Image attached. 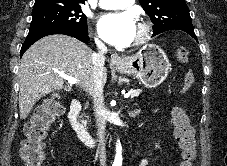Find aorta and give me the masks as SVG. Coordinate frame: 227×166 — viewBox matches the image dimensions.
Returning <instances> with one entry per match:
<instances>
[{
  "label": "aorta",
  "mask_w": 227,
  "mask_h": 166,
  "mask_svg": "<svg viewBox=\"0 0 227 166\" xmlns=\"http://www.w3.org/2000/svg\"><path fill=\"white\" fill-rule=\"evenodd\" d=\"M122 163V147L120 142L118 141L116 144V155L113 166H121Z\"/></svg>",
  "instance_id": "1"
}]
</instances>
